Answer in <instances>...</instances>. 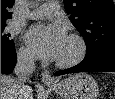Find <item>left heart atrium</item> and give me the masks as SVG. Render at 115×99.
Returning <instances> with one entry per match:
<instances>
[{"mask_svg":"<svg viewBox=\"0 0 115 99\" xmlns=\"http://www.w3.org/2000/svg\"><path fill=\"white\" fill-rule=\"evenodd\" d=\"M26 42L37 57L57 60L67 41V35L60 24L36 25L26 34Z\"/></svg>","mask_w":115,"mask_h":99,"instance_id":"left-heart-atrium-1","label":"left heart atrium"}]
</instances>
